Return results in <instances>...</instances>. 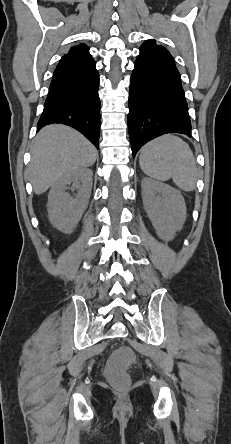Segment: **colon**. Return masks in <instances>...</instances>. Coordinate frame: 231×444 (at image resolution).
<instances>
[{"label":"colon","instance_id":"5ec220e1","mask_svg":"<svg viewBox=\"0 0 231 444\" xmlns=\"http://www.w3.org/2000/svg\"><path fill=\"white\" fill-rule=\"evenodd\" d=\"M134 359V353L129 347H121L110 356L106 374L108 379L118 387H126L129 383L127 369Z\"/></svg>","mask_w":231,"mask_h":444}]
</instances>
